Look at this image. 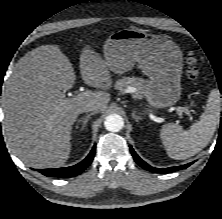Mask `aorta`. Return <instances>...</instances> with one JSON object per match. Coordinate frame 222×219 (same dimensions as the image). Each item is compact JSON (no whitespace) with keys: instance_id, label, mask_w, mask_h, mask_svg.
<instances>
[{"instance_id":"aorta-1","label":"aorta","mask_w":222,"mask_h":219,"mask_svg":"<svg viewBox=\"0 0 222 219\" xmlns=\"http://www.w3.org/2000/svg\"><path fill=\"white\" fill-rule=\"evenodd\" d=\"M104 126L110 132H119L124 126V120L118 114H110L106 117Z\"/></svg>"}]
</instances>
